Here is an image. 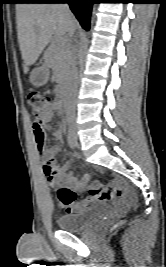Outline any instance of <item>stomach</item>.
<instances>
[{
	"mask_svg": "<svg viewBox=\"0 0 166 267\" xmlns=\"http://www.w3.org/2000/svg\"><path fill=\"white\" fill-rule=\"evenodd\" d=\"M50 72L47 66L43 65L32 70L29 81L33 86L40 87L49 80Z\"/></svg>",
	"mask_w": 166,
	"mask_h": 267,
	"instance_id": "obj_1",
	"label": "stomach"
}]
</instances>
